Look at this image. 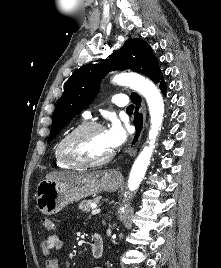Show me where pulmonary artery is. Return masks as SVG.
<instances>
[{
    "label": "pulmonary artery",
    "instance_id": "1",
    "mask_svg": "<svg viewBox=\"0 0 221 268\" xmlns=\"http://www.w3.org/2000/svg\"><path fill=\"white\" fill-rule=\"evenodd\" d=\"M112 102L119 107H124L128 104V98L124 94H116L112 97ZM86 118L91 116L89 111H85L83 114Z\"/></svg>",
    "mask_w": 221,
    "mask_h": 268
}]
</instances>
